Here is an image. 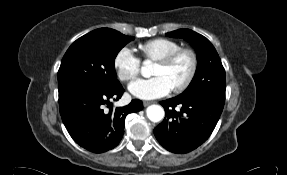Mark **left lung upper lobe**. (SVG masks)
I'll return each instance as SVG.
<instances>
[{
	"label": "left lung upper lobe",
	"instance_id": "obj_1",
	"mask_svg": "<svg viewBox=\"0 0 287 175\" xmlns=\"http://www.w3.org/2000/svg\"><path fill=\"white\" fill-rule=\"evenodd\" d=\"M166 35L183 38L197 52L198 66L195 76L187 89L180 95H202L224 102L226 88L225 70L212 43L201 34L189 29H179Z\"/></svg>",
	"mask_w": 287,
	"mask_h": 175
}]
</instances>
